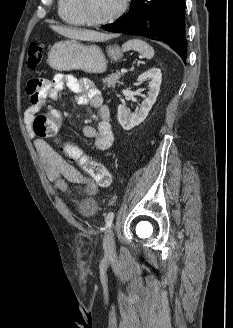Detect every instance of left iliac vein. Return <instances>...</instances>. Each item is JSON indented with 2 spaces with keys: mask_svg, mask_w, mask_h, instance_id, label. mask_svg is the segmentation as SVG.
Returning a JSON list of instances; mask_svg holds the SVG:
<instances>
[{
  "mask_svg": "<svg viewBox=\"0 0 233 328\" xmlns=\"http://www.w3.org/2000/svg\"><path fill=\"white\" fill-rule=\"evenodd\" d=\"M104 251L107 256H111L115 251V240L114 233L112 229H109L103 243Z\"/></svg>",
  "mask_w": 233,
  "mask_h": 328,
  "instance_id": "1",
  "label": "left iliac vein"
}]
</instances>
